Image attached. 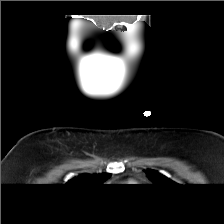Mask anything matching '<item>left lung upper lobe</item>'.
<instances>
[{
  "label": "left lung upper lobe",
  "mask_w": 224,
  "mask_h": 224,
  "mask_svg": "<svg viewBox=\"0 0 224 224\" xmlns=\"http://www.w3.org/2000/svg\"><path fill=\"white\" fill-rule=\"evenodd\" d=\"M146 175L154 183V185L175 184L170 179H168L167 177L163 176L162 174H160L159 172H157L155 170L149 169L148 171H146Z\"/></svg>",
  "instance_id": "1"
}]
</instances>
